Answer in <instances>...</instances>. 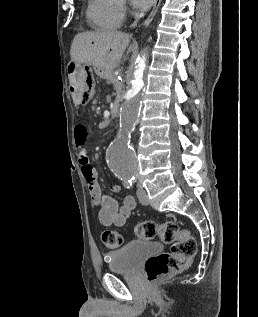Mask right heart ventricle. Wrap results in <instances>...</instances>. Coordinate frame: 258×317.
I'll return each instance as SVG.
<instances>
[{
	"instance_id": "1",
	"label": "right heart ventricle",
	"mask_w": 258,
	"mask_h": 317,
	"mask_svg": "<svg viewBox=\"0 0 258 317\" xmlns=\"http://www.w3.org/2000/svg\"><path fill=\"white\" fill-rule=\"evenodd\" d=\"M123 0H89L86 17L96 30H116L123 20Z\"/></svg>"
}]
</instances>
